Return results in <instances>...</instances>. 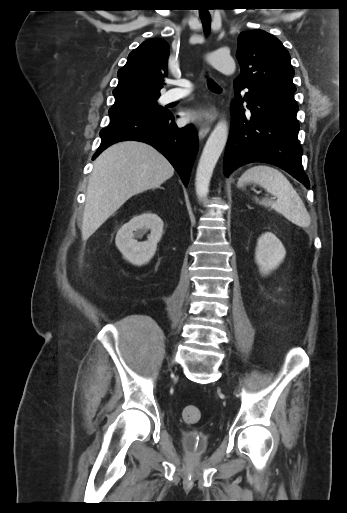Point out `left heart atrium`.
<instances>
[{
	"mask_svg": "<svg viewBox=\"0 0 347 513\" xmlns=\"http://www.w3.org/2000/svg\"><path fill=\"white\" fill-rule=\"evenodd\" d=\"M197 117H198V113L195 111H186L183 113V121L186 123L196 120Z\"/></svg>",
	"mask_w": 347,
	"mask_h": 513,
	"instance_id": "obj_1",
	"label": "left heart atrium"
}]
</instances>
